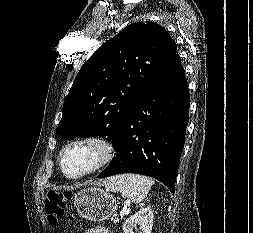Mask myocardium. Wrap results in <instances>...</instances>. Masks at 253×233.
I'll use <instances>...</instances> for the list:
<instances>
[{
  "mask_svg": "<svg viewBox=\"0 0 253 233\" xmlns=\"http://www.w3.org/2000/svg\"><path fill=\"white\" fill-rule=\"evenodd\" d=\"M91 147L96 152L93 164L86 170L70 174L65 170L64 158L66 154L76 147ZM117 149L114 142L107 136L101 134H93L85 137L77 138L66 144L59 153L58 166L61 173L68 179L76 180L88 176L97 170L109 165L116 157Z\"/></svg>",
  "mask_w": 253,
  "mask_h": 233,
  "instance_id": "1",
  "label": "myocardium"
}]
</instances>
